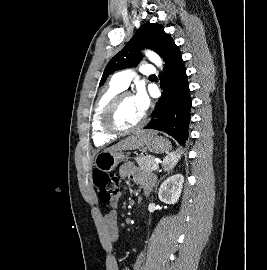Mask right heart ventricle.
I'll return each instance as SVG.
<instances>
[{
  "label": "right heart ventricle",
  "mask_w": 267,
  "mask_h": 270,
  "mask_svg": "<svg viewBox=\"0 0 267 270\" xmlns=\"http://www.w3.org/2000/svg\"><path fill=\"white\" fill-rule=\"evenodd\" d=\"M122 90V88H120L117 84L111 81L109 85L101 92L95 103L91 121V130L93 142L96 146L107 145L115 139V136L108 135L103 131L101 119L103 111L108 105V103Z\"/></svg>",
  "instance_id": "right-heart-ventricle-1"
}]
</instances>
